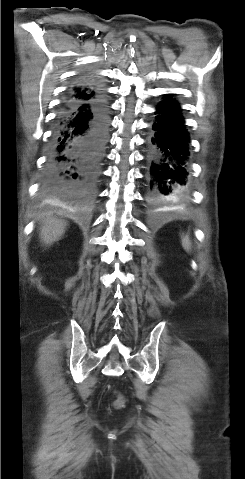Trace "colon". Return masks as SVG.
Wrapping results in <instances>:
<instances>
[{
  "label": "colon",
  "mask_w": 245,
  "mask_h": 479,
  "mask_svg": "<svg viewBox=\"0 0 245 479\" xmlns=\"http://www.w3.org/2000/svg\"><path fill=\"white\" fill-rule=\"evenodd\" d=\"M124 404V400H123V397L121 395H118L117 396V401H116V406L117 407H122Z\"/></svg>",
  "instance_id": "5ec220e1"
}]
</instances>
